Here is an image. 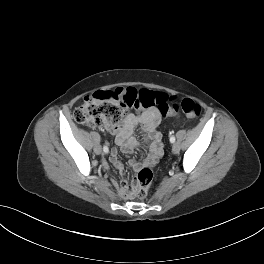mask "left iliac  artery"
<instances>
[{
	"mask_svg": "<svg viewBox=\"0 0 264 264\" xmlns=\"http://www.w3.org/2000/svg\"><path fill=\"white\" fill-rule=\"evenodd\" d=\"M170 142H171V143H174V142H175V137H174V136H171V137H170Z\"/></svg>",
	"mask_w": 264,
	"mask_h": 264,
	"instance_id": "1",
	"label": "left iliac artery"
}]
</instances>
